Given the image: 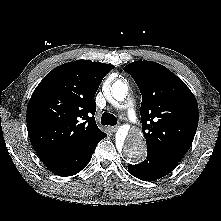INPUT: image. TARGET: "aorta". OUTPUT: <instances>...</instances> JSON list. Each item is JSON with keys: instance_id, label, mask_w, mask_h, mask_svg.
<instances>
[{"instance_id": "obj_1", "label": "aorta", "mask_w": 221, "mask_h": 221, "mask_svg": "<svg viewBox=\"0 0 221 221\" xmlns=\"http://www.w3.org/2000/svg\"><path fill=\"white\" fill-rule=\"evenodd\" d=\"M104 94L108 100L114 99L118 102L125 100L128 88L125 82L117 79L104 86ZM117 147L121 148L123 154L131 161H140L146 153V143L143 133L139 129L127 132L122 129L116 138Z\"/></svg>"}]
</instances>
